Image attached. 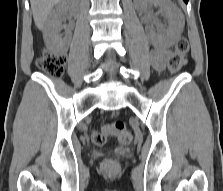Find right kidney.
Here are the masks:
<instances>
[{"instance_id":"obj_1","label":"right kidney","mask_w":223,"mask_h":191,"mask_svg":"<svg viewBox=\"0 0 223 191\" xmlns=\"http://www.w3.org/2000/svg\"><path fill=\"white\" fill-rule=\"evenodd\" d=\"M77 6V0H63L55 6L46 20L43 32L44 41L55 54H63L69 48L72 34L62 25V22L65 20L68 10L75 9ZM63 28L65 32L61 34Z\"/></svg>"}]
</instances>
